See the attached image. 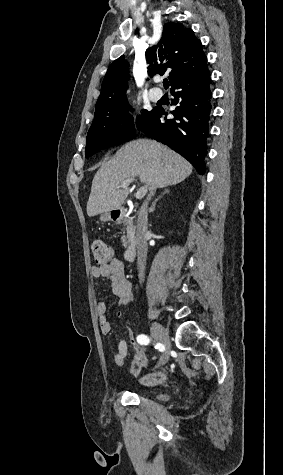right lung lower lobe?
<instances>
[{
    "mask_svg": "<svg viewBox=\"0 0 283 475\" xmlns=\"http://www.w3.org/2000/svg\"><path fill=\"white\" fill-rule=\"evenodd\" d=\"M172 105L170 113L174 119H167V111L154 108V114L141 129L151 138L162 142L186 158L198 171L205 172L207 155L206 139L212 117V90L208 68L187 76L171 86Z\"/></svg>",
    "mask_w": 283,
    "mask_h": 475,
    "instance_id": "98d812e1",
    "label": "right lung lower lobe"
}]
</instances>
